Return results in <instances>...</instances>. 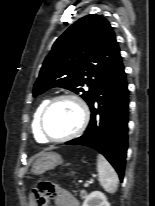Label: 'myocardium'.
<instances>
[{"instance_id":"myocardium-1","label":"myocardium","mask_w":155,"mask_h":206,"mask_svg":"<svg viewBox=\"0 0 155 206\" xmlns=\"http://www.w3.org/2000/svg\"><path fill=\"white\" fill-rule=\"evenodd\" d=\"M63 100H71L77 105V107L79 108V111H80V123H79V126L77 127V129H75L73 132L67 134L66 136L60 137V138H53V137H50L45 132L44 120H45V117H46L48 111L51 109V107L53 105H55L56 103L63 101ZM89 121H90V111H89L88 105L85 102V100L77 94L64 93V94H61V95H58V96L52 98L45 105V107L43 108V110L40 114V117H39L38 128H39V132H40L41 136L43 137V139L45 141L61 143V142H66V141H69L75 137L80 136L87 128Z\"/></svg>"}]
</instances>
